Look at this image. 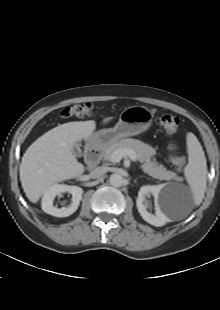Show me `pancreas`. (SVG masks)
<instances>
[{
  "mask_svg": "<svg viewBox=\"0 0 220 310\" xmlns=\"http://www.w3.org/2000/svg\"><path fill=\"white\" fill-rule=\"evenodd\" d=\"M119 149L133 150L138 160L143 163L141 165L142 170L153 178L159 180H176L178 178L176 173L167 170L163 165L156 162L155 158H153L156 153L154 148L136 139L126 138L111 144L105 149L104 159L111 161L112 154Z\"/></svg>",
  "mask_w": 220,
  "mask_h": 310,
  "instance_id": "cf45deb5",
  "label": "pancreas"
}]
</instances>
